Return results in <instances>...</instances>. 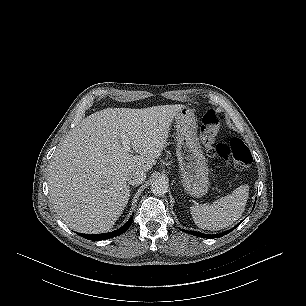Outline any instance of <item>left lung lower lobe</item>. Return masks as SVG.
<instances>
[{
    "label": "left lung lower lobe",
    "mask_w": 306,
    "mask_h": 306,
    "mask_svg": "<svg viewBox=\"0 0 306 306\" xmlns=\"http://www.w3.org/2000/svg\"><path fill=\"white\" fill-rule=\"evenodd\" d=\"M255 206V205H254ZM254 208V207H253ZM242 222V221H241ZM240 222V223H241ZM239 223V224H240ZM239 224H237L233 229H235ZM233 229L231 230H228V231H225L223 233H219V234H212V235H209V234H203V233H200V232H197V231H187V230H182L188 234H191V235H194V236H198V237H202V238H209V239H213V238H220L226 234H228L229 232H231Z\"/></svg>",
    "instance_id": "left-lung-lower-lobe-1"
}]
</instances>
